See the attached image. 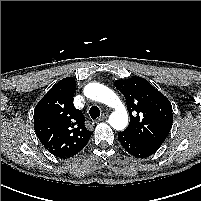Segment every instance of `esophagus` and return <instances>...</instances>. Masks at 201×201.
Wrapping results in <instances>:
<instances>
[{
	"label": "esophagus",
	"instance_id": "obj_1",
	"mask_svg": "<svg viewBox=\"0 0 201 201\" xmlns=\"http://www.w3.org/2000/svg\"><path fill=\"white\" fill-rule=\"evenodd\" d=\"M108 117V112H104L100 118L96 120V122H100Z\"/></svg>",
	"mask_w": 201,
	"mask_h": 201
}]
</instances>
